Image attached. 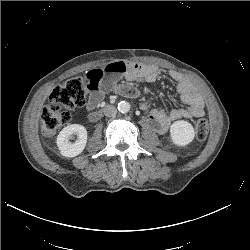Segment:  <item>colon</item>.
Segmentation results:
<instances>
[{
	"label": "colon",
	"mask_w": 250,
	"mask_h": 250,
	"mask_svg": "<svg viewBox=\"0 0 250 250\" xmlns=\"http://www.w3.org/2000/svg\"><path fill=\"white\" fill-rule=\"evenodd\" d=\"M88 80L86 77H74L58 84L51 92L42 110V131L45 135H53L57 129L71 119V111L86 103ZM196 138L203 141L209 133V124L199 119L194 125Z\"/></svg>",
	"instance_id": "obj_1"
}]
</instances>
